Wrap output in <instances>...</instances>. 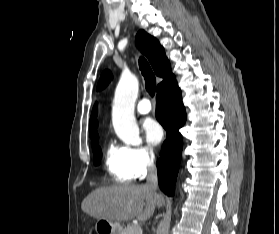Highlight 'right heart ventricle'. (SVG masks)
Segmentation results:
<instances>
[{"mask_svg":"<svg viewBox=\"0 0 279 234\" xmlns=\"http://www.w3.org/2000/svg\"><path fill=\"white\" fill-rule=\"evenodd\" d=\"M105 166L109 175L118 183L131 182L137 177L127 147L109 144L105 152Z\"/></svg>","mask_w":279,"mask_h":234,"instance_id":"right-heart-ventricle-1","label":"right heart ventricle"}]
</instances>
